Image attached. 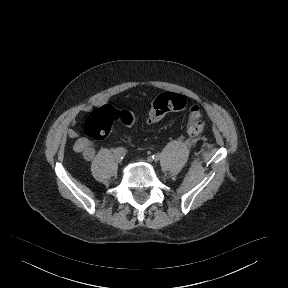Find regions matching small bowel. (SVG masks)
Instances as JSON below:
<instances>
[{
	"mask_svg": "<svg viewBox=\"0 0 288 288\" xmlns=\"http://www.w3.org/2000/svg\"><path fill=\"white\" fill-rule=\"evenodd\" d=\"M78 141V140H77ZM77 143V142H76ZM75 143V144H76ZM76 151V150H75ZM78 153H83V156L86 160L91 161L94 158L95 150L93 145L90 142H87L85 150L84 151H76Z\"/></svg>",
	"mask_w": 288,
	"mask_h": 288,
	"instance_id": "small-bowel-1",
	"label": "small bowel"
}]
</instances>
